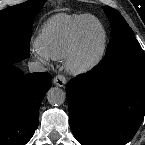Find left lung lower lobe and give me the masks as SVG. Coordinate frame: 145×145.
I'll list each match as a JSON object with an SVG mask.
<instances>
[{"label": "left lung lower lobe", "instance_id": "obj_1", "mask_svg": "<svg viewBox=\"0 0 145 145\" xmlns=\"http://www.w3.org/2000/svg\"><path fill=\"white\" fill-rule=\"evenodd\" d=\"M70 126L82 145H124L145 115V64L102 61L67 85Z\"/></svg>", "mask_w": 145, "mask_h": 145}]
</instances>
